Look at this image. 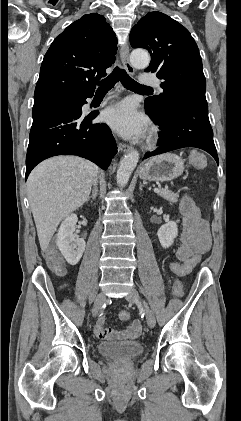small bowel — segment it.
<instances>
[{"label": "small bowel", "instance_id": "1", "mask_svg": "<svg viewBox=\"0 0 241 421\" xmlns=\"http://www.w3.org/2000/svg\"><path fill=\"white\" fill-rule=\"evenodd\" d=\"M183 217L181 245L177 250V257L183 261L194 255L205 254L211 246L210 230L207 222L202 218L194 200L184 195L180 202ZM105 317H100L94 327L95 335L102 340H134L141 332L139 320H133L126 329H110L105 326Z\"/></svg>", "mask_w": 241, "mask_h": 421}]
</instances>
